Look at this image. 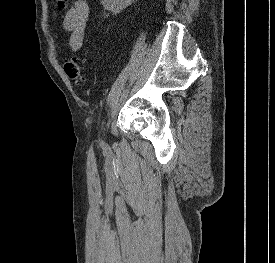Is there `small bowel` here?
Here are the masks:
<instances>
[{"label": "small bowel", "instance_id": "obj_1", "mask_svg": "<svg viewBox=\"0 0 275 263\" xmlns=\"http://www.w3.org/2000/svg\"><path fill=\"white\" fill-rule=\"evenodd\" d=\"M89 11L87 0H76L65 13L63 26L69 33V45L73 52L82 48Z\"/></svg>", "mask_w": 275, "mask_h": 263}]
</instances>
